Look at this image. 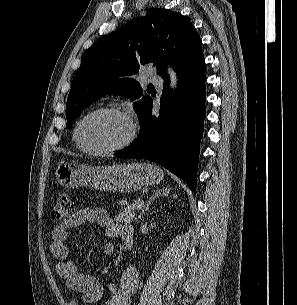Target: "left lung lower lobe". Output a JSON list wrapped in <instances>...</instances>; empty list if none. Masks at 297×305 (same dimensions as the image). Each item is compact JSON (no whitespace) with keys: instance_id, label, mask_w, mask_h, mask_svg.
<instances>
[{"instance_id":"obj_1","label":"left lung lower lobe","mask_w":297,"mask_h":305,"mask_svg":"<svg viewBox=\"0 0 297 305\" xmlns=\"http://www.w3.org/2000/svg\"><path fill=\"white\" fill-rule=\"evenodd\" d=\"M178 89L171 92L164 79L159 116L152 115V99L142 110L139 135L117 157L156 162L183 179L192 191L197 185V165L205 118V69L181 67Z\"/></svg>"}]
</instances>
